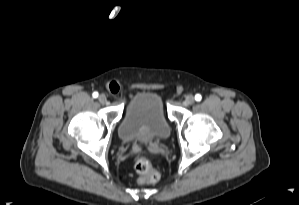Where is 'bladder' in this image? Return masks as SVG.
Returning a JSON list of instances; mask_svg holds the SVG:
<instances>
[{
    "label": "bladder",
    "mask_w": 299,
    "mask_h": 205,
    "mask_svg": "<svg viewBox=\"0 0 299 205\" xmlns=\"http://www.w3.org/2000/svg\"><path fill=\"white\" fill-rule=\"evenodd\" d=\"M170 133L162 100L152 92H142L131 99L118 128L124 142L164 141Z\"/></svg>",
    "instance_id": "1"
}]
</instances>
